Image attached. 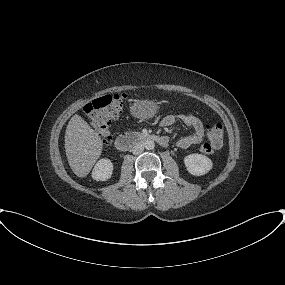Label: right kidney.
I'll list each match as a JSON object with an SVG mask.
<instances>
[{"mask_svg":"<svg viewBox=\"0 0 285 285\" xmlns=\"http://www.w3.org/2000/svg\"><path fill=\"white\" fill-rule=\"evenodd\" d=\"M113 174V163L109 159H100L92 171V178L96 181H107Z\"/></svg>","mask_w":285,"mask_h":285,"instance_id":"1","label":"right kidney"}]
</instances>
